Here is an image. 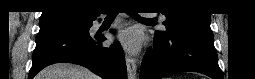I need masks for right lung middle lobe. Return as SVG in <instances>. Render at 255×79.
Wrapping results in <instances>:
<instances>
[{
    "label": "right lung middle lobe",
    "instance_id": "obj_1",
    "mask_svg": "<svg viewBox=\"0 0 255 79\" xmlns=\"http://www.w3.org/2000/svg\"><path fill=\"white\" fill-rule=\"evenodd\" d=\"M84 22L86 21L80 20L77 16H75L72 13L50 16L40 19L39 33L54 29H67V30L81 29L85 26Z\"/></svg>",
    "mask_w": 255,
    "mask_h": 79
}]
</instances>
